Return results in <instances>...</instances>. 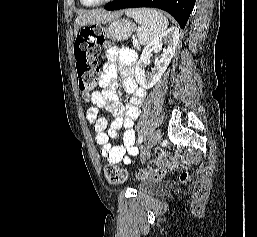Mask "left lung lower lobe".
Segmentation results:
<instances>
[{"instance_id":"0a47b994","label":"left lung lower lobe","mask_w":257,"mask_h":237,"mask_svg":"<svg viewBox=\"0 0 257 237\" xmlns=\"http://www.w3.org/2000/svg\"><path fill=\"white\" fill-rule=\"evenodd\" d=\"M196 0H114L104 7L106 10L154 7L171 14L183 29L189 19Z\"/></svg>"}]
</instances>
